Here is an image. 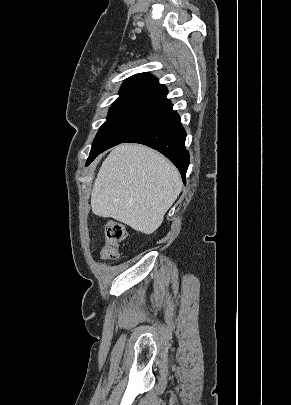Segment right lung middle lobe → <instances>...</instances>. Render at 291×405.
Instances as JSON below:
<instances>
[{"mask_svg": "<svg viewBox=\"0 0 291 405\" xmlns=\"http://www.w3.org/2000/svg\"><path fill=\"white\" fill-rule=\"evenodd\" d=\"M172 105L135 100L113 103L106 122L100 127L87 161L92 162L100 153L125 142L151 126L170 112Z\"/></svg>", "mask_w": 291, "mask_h": 405, "instance_id": "obj_1", "label": "right lung middle lobe"}]
</instances>
